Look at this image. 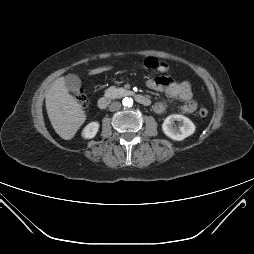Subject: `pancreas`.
Masks as SVG:
<instances>
[{"mask_svg":"<svg viewBox=\"0 0 254 254\" xmlns=\"http://www.w3.org/2000/svg\"><path fill=\"white\" fill-rule=\"evenodd\" d=\"M127 93V90L123 88H116L115 86H111L105 91V95L111 98H119Z\"/></svg>","mask_w":254,"mask_h":254,"instance_id":"pancreas-1","label":"pancreas"}]
</instances>
